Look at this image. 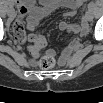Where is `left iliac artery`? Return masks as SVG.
<instances>
[{
	"label": "left iliac artery",
	"instance_id": "left-iliac-artery-1",
	"mask_svg": "<svg viewBox=\"0 0 103 103\" xmlns=\"http://www.w3.org/2000/svg\"><path fill=\"white\" fill-rule=\"evenodd\" d=\"M95 8V4L93 2H91L89 5H88V11L89 12H92Z\"/></svg>",
	"mask_w": 103,
	"mask_h": 103
}]
</instances>
